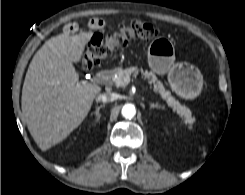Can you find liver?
Masks as SVG:
<instances>
[{
	"instance_id": "liver-1",
	"label": "liver",
	"mask_w": 245,
	"mask_h": 195,
	"mask_svg": "<svg viewBox=\"0 0 245 195\" xmlns=\"http://www.w3.org/2000/svg\"><path fill=\"white\" fill-rule=\"evenodd\" d=\"M93 36L52 37L34 55L23 84L21 107L28 130L43 151L63 141L91 109L97 85L80 83L73 63Z\"/></svg>"
}]
</instances>
